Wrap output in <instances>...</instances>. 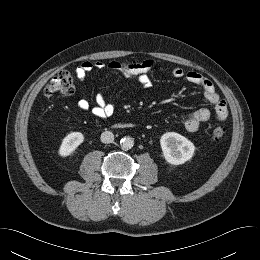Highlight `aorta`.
<instances>
[{
  "mask_svg": "<svg viewBox=\"0 0 260 260\" xmlns=\"http://www.w3.org/2000/svg\"><path fill=\"white\" fill-rule=\"evenodd\" d=\"M134 140L130 136H126L120 140V146L123 150H129L133 147Z\"/></svg>",
  "mask_w": 260,
  "mask_h": 260,
  "instance_id": "aorta-1",
  "label": "aorta"
}]
</instances>
